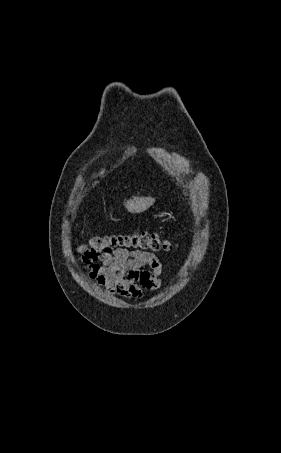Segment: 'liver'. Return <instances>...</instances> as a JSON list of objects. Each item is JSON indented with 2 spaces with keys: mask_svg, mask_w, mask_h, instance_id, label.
Masks as SVG:
<instances>
[{
  "mask_svg": "<svg viewBox=\"0 0 281 453\" xmlns=\"http://www.w3.org/2000/svg\"><path fill=\"white\" fill-rule=\"evenodd\" d=\"M154 202L155 198H152V196H133V198L125 202V206L129 212H143V210H147L149 206H152Z\"/></svg>",
  "mask_w": 281,
  "mask_h": 453,
  "instance_id": "1",
  "label": "liver"
}]
</instances>
